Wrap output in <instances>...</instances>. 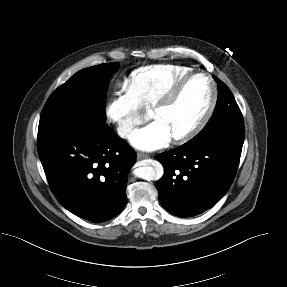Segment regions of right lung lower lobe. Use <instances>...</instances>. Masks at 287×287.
I'll list each match as a JSON object with an SVG mask.
<instances>
[{
  "label": "right lung lower lobe",
  "instance_id": "obj_1",
  "mask_svg": "<svg viewBox=\"0 0 287 287\" xmlns=\"http://www.w3.org/2000/svg\"><path fill=\"white\" fill-rule=\"evenodd\" d=\"M38 153L52 192L73 214L100 223L124 208L136 154L109 126L38 138Z\"/></svg>",
  "mask_w": 287,
  "mask_h": 287
}]
</instances>
